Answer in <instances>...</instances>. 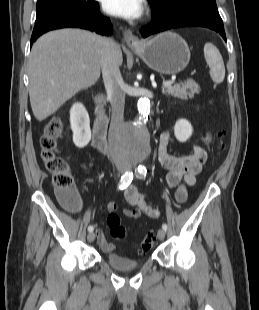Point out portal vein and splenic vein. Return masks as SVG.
Listing matches in <instances>:
<instances>
[{
  "mask_svg": "<svg viewBox=\"0 0 259 310\" xmlns=\"http://www.w3.org/2000/svg\"><path fill=\"white\" fill-rule=\"evenodd\" d=\"M174 82H175L174 80L164 81L163 82V86L164 87L171 86Z\"/></svg>",
  "mask_w": 259,
  "mask_h": 310,
  "instance_id": "1",
  "label": "portal vein and splenic vein"
}]
</instances>
